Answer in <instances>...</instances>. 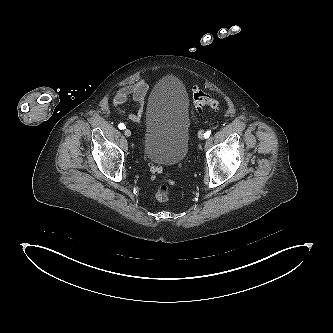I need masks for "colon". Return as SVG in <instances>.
I'll list each match as a JSON object with an SVG mask.
<instances>
[{
    "label": "colon",
    "mask_w": 333,
    "mask_h": 333,
    "mask_svg": "<svg viewBox=\"0 0 333 333\" xmlns=\"http://www.w3.org/2000/svg\"><path fill=\"white\" fill-rule=\"evenodd\" d=\"M193 103L197 110L202 108H210L213 110H218L220 108V102L212 95L206 93L205 91L195 88L193 90ZM148 171L152 178H157L162 173V168L157 165L150 164ZM173 180L168 176H163L161 179V184L159 185L156 198L161 202H166L171 197V186L173 185Z\"/></svg>",
    "instance_id": "obj_1"
}]
</instances>
